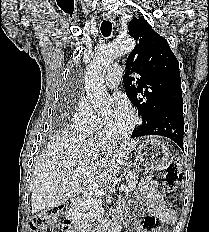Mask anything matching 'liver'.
Here are the masks:
<instances>
[{
	"mask_svg": "<svg viewBox=\"0 0 209 232\" xmlns=\"http://www.w3.org/2000/svg\"><path fill=\"white\" fill-rule=\"evenodd\" d=\"M138 141L97 140L62 131L38 158L33 171L32 213L57 207L81 191L78 167L87 169L101 185L116 179Z\"/></svg>",
	"mask_w": 209,
	"mask_h": 232,
	"instance_id": "liver-1",
	"label": "liver"
}]
</instances>
